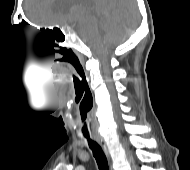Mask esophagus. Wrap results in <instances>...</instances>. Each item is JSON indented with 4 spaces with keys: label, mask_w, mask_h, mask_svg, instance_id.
I'll list each match as a JSON object with an SVG mask.
<instances>
[{
    "label": "esophagus",
    "mask_w": 190,
    "mask_h": 170,
    "mask_svg": "<svg viewBox=\"0 0 190 170\" xmlns=\"http://www.w3.org/2000/svg\"><path fill=\"white\" fill-rule=\"evenodd\" d=\"M95 138H96V141L101 146V148L104 151V153L106 154V156L109 157V150H108L107 144H106L105 140L103 139V137L96 136Z\"/></svg>",
    "instance_id": "1"
}]
</instances>
